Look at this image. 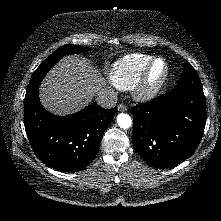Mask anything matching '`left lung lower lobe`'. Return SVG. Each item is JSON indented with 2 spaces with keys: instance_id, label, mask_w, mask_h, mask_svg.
Returning <instances> with one entry per match:
<instances>
[{
  "instance_id": "0a47b994",
  "label": "left lung lower lobe",
  "mask_w": 221,
  "mask_h": 221,
  "mask_svg": "<svg viewBox=\"0 0 221 221\" xmlns=\"http://www.w3.org/2000/svg\"><path fill=\"white\" fill-rule=\"evenodd\" d=\"M132 142L149 166L167 168L189 158L206 124L204 94L167 92L133 107Z\"/></svg>"
}]
</instances>
